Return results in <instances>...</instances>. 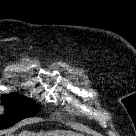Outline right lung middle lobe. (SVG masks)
I'll return each mask as SVG.
<instances>
[{"instance_id": "1", "label": "right lung middle lobe", "mask_w": 136, "mask_h": 136, "mask_svg": "<svg viewBox=\"0 0 136 136\" xmlns=\"http://www.w3.org/2000/svg\"><path fill=\"white\" fill-rule=\"evenodd\" d=\"M2 101L7 110L0 116V129L10 127L24 118L35 115L38 111V105L31 99L20 97L16 93L4 95Z\"/></svg>"}]
</instances>
